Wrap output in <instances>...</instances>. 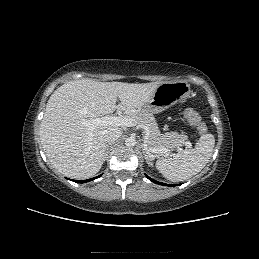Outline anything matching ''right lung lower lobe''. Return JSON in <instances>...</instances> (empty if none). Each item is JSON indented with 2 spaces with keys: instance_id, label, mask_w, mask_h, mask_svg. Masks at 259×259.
I'll return each mask as SVG.
<instances>
[{
  "instance_id": "98d812e1",
  "label": "right lung lower lobe",
  "mask_w": 259,
  "mask_h": 259,
  "mask_svg": "<svg viewBox=\"0 0 259 259\" xmlns=\"http://www.w3.org/2000/svg\"><path fill=\"white\" fill-rule=\"evenodd\" d=\"M101 176V175H100ZM100 176H98V177H100ZM98 177H95V178H91V179H87V180H80V181H78V180H73V181H75V182H77V183H85V182H89V181H92V180H94V179H96V178H98Z\"/></svg>"
}]
</instances>
